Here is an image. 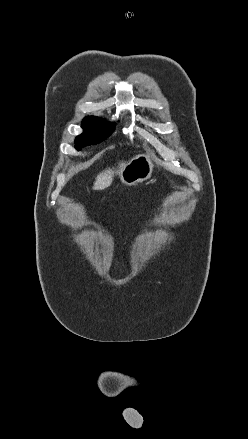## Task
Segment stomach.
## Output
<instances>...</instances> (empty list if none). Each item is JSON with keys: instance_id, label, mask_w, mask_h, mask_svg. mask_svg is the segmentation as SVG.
Masks as SVG:
<instances>
[{"instance_id": "stomach-1", "label": "stomach", "mask_w": 248, "mask_h": 439, "mask_svg": "<svg viewBox=\"0 0 248 439\" xmlns=\"http://www.w3.org/2000/svg\"><path fill=\"white\" fill-rule=\"evenodd\" d=\"M154 169L150 157L141 153L133 157L122 169L120 180L126 186H133L148 180Z\"/></svg>"}]
</instances>
